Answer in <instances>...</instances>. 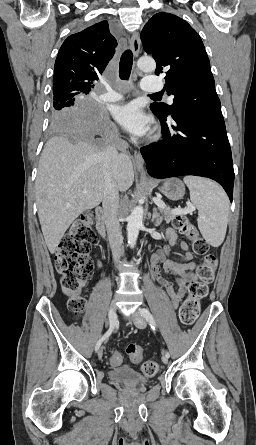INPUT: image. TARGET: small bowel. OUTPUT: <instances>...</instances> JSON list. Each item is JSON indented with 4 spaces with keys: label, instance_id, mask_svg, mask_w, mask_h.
Instances as JSON below:
<instances>
[{
    "label": "small bowel",
    "instance_id": "obj_1",
    "mask_svg": "<svg viewBox=\"0 0 256 445\" xmlns=\"http://www.w3.org/2000/svg\"><path fill=\"white\" fill-rule=\"evenodd\" d=\"M185 248V245L182 246ZM173 239L169 238L167 245L151 257V266L157 280L165 287L171 299V305L176 308L186 293L189 283L197 279V275L192 271L194 262L189 255L181 257V261H175L172 257ZM97 266L101 262L97 260ZM160 267L166 275L172 276V280L164 279L159 275Z\"/></svg>",
    "mask_w": 256,
    "mask_h": 445
}]
</instances>
